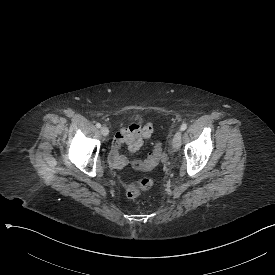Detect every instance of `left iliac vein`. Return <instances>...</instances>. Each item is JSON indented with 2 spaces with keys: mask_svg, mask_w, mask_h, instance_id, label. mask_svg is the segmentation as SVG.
I'll return each instance as SVG.
<instances>
[{
  "mask_svg": "<svg viewBox=\"0 0 275 275\" xmlns=\"http://www.w3.org/2000/svg\"><path fill=\"white\" fill-rule=\"evenodd\" d=\"M182 131L179 130L175 133L172 139V147L174 151H178L180 148V141H181Z\"/></svg>",
  "mask_w": 275,
  "mask_h": 275,
  "instance_id": "1",
  "label": "left iliac vein"
}]
</instances>
